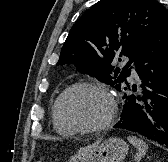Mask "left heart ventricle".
<instances>
[{"instance_id": "obj_1", "label": "left heart ventricle", "mask_w": 168, "mask_h": 162, "mask_svg": "<svg viewBox=\"0 0 168 162\" xmlns=\"http://www.w3.org/2000/svg\"><path fill=\"white\" fill-rule=\"evenodd\" d=\"M111 105L108 98L92 89H78L70 93L63 102L66 118L80 125H96L109 115Z\"/></svg>"}]
</instances>
